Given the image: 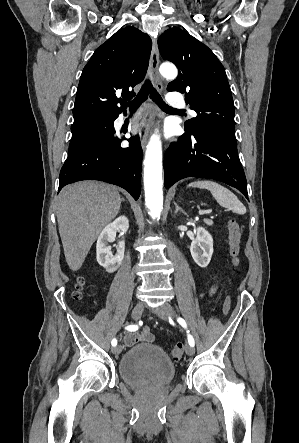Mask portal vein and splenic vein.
<instances>
[{
  "label": "portal vein and splenic vein",
  "instance_id": "1",
  "mask_svg": "<svg viewBox=\"0 0 299 443\" xmlns=\"http://www.w3.org/2000/svg\"><path fill=\"white\" fill-rule=\"evenodd\" d=\"M211 212H212L211 209H208V210H200V211H199V215L209 214V213H211Z\"/></svg>",
  "mask_w": 299,
  "mask_h": 443
}]
</instances>
